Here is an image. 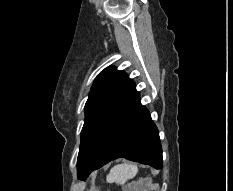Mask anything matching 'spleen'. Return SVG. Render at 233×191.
Here are the masks:
<instances>
[{
    "label": "spleen",
    "instance_id": "spleen-1",
    "mask_svg": "<svg viewBox=\"0 0 233 191\" xmlns=\"http://www.w3.org/2000/svg\"><path fill=\"white\" fill-rule=\"evenodd\" d=\"M138 167L134 164H120L113 167L107 175L106 180L109 183L125 184L129 179L136 176Z\"/></svg>",
    "mask_w": 233,
    "mask_h": 191
}]
</instances>
